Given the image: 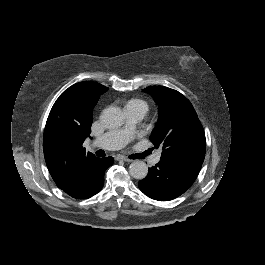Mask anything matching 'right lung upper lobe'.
<instances>
[{
	"label": "right lung upper lobe",
	"mask_w": 265,
	"mask_h": 265,
	"mask_svg": "<svg viewBox=\"0 0 265 265\" xmlns=\"http://www.w3.org/2000/svg\"><path fill=\"white\" fill-rule=\"evenodd\" d=\"M107 90L93 81L74 84L59 96L50 111L43 151L50 175L62 190L89 175L100 159L86 153L82 144L91 132L93 108Z\"/></svg>",
	"instance_id": "cb5924a9"
}]
</instances>
